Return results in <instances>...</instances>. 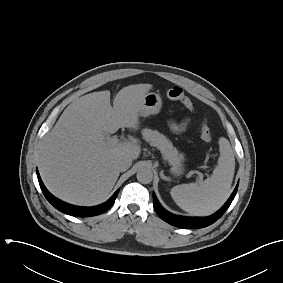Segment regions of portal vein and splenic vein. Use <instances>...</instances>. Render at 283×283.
<instances>
[{
  "instance_id": "1",
  "label": "portal vein and splenic vein",
  "mask_w": 283,
  "mask_h": 283,
  "mask_svg": "<svg viewBox=\"0 0 283 283\" xmlns=\"http://www.w3.org/2000/svg\"><path fill=\"white\" fill-rule=\"evenodd\" d=\"M106 143H107L109 146H112V147H115V146H118V145H121V144H122V142L120 141V139L117 138L116 136H114V137H112V138L107 137V138H106ZM195 173L198 174V176H199V178H200L199 181L201 182L202 179H203V174H202L201 172H199V171H196Z\"/></svg>"
}]
</instances>
